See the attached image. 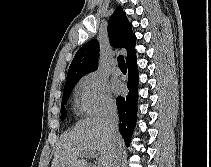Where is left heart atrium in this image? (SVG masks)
Wrapping results in <instances>:
<instances>
[{
    "label": "left heart atrium",
    "instance_id": "1",
    "mask_svg": "<svg viewBox=\"0 0 211 167\" xmlns=\"http://www.w3.org/2000/svg\"><path fill=\"white\" fill-rule=\"evenodd\" d=\"M111 89L114 93H119L121 92L122 90V85L117 82V81H114L112 84H111Z\"/></svg>",
    "mask_w": 211,
    "mask_h": 167
}]
</instances>
